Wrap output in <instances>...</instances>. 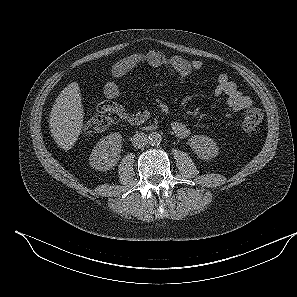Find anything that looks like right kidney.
Here are the masks:
<instances>
[{"instance_id": "ca27d5eb", "label": "right kidney", "mask_w": 297, "mask_h": 297, "mask_svg": "<svg viewBox=\"0 0 297 297\" xmlns=\"http://www.w3.org/2000/svg\"><path fill=\"white\" fill-rule=\"evenodd\" d=\"M121 143L122 135L118 132L100 139L90 154V166L99 171L113 168L121 157Z\"/></svg>"}]
</instances>
